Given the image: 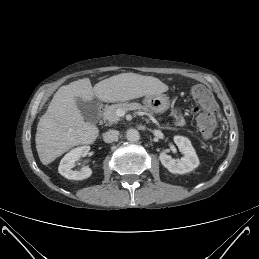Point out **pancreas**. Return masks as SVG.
Returning a JSON list of instances; mask_svg holds the SVG:
<instances>
[{"instance_id": "pancreas-1", "label": "pancreas", "mask_w": 259, "mask_h": 259, "mask_svg": "<svg viewBox=\"0 0 259 259\" xmlns=\"http://www.w3.org/2000/svg\"><path fill=\"white\" fill-rule=\"evenodd\" d=\"M118 110L129 111V110H143L148 112L149 110L142 106L140 103H119L109 106L103 113L104 120L108 121L109 124L117 123L120 117L117 115Z\"/></svg>"}]
</instances>
